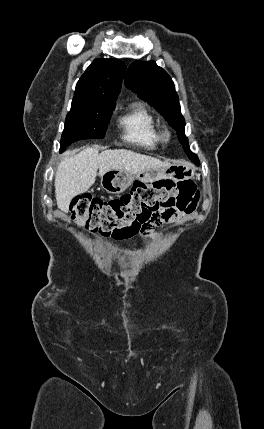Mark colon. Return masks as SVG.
Segmentation results:
<instances>
[{"label": "colon", "instance_id": "colon-1", "mask_svg": "<svg viewBox=\"0 0 264 429\" xmlns=\"http://www.w3.org/2000/svg\"><path fill=\"white\" fill-rule=\"evenodd\" d=\"M199 196L198 189L189 181L136 182L128 193L110 200L76 196L71 205V220L93 233L126 237L155 215L175 210L192 213Z\"/></svg>", "mask_w": 264, "mask_h": 429}]
</instances>
